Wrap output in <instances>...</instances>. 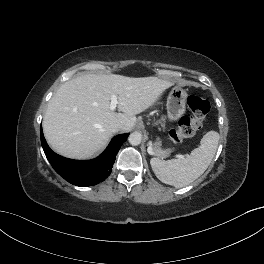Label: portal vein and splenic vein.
Wrapping results in <instances>:
<instances>
[{
  "mask_svg": "<svg viewBox=\"0 0 264 264\" xmlns=\"http://www.w3.org/2000/svg\"><path fill=\"white\" fill-rule=\"evenodd\" d=\"M118 105V99L116 95L111 96V102H110V110H115ZM152 150V149H149ZM177 157L182 158L184 157L183 155H177Z\"/></svg>",
  "mask_w": 264,
  "mask_h": 264,
  "instance_id": "1",
  "label": "portal vein and splenic vein"
}]
</instances>
